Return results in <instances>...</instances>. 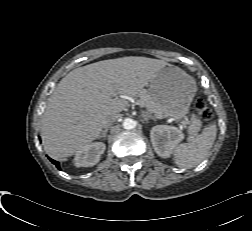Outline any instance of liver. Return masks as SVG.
Instances as JSON below:
<instances>
[{"instance_id":"liver-1","label":"liver","mask_w":252,"mask_h":231,"mask_svg":"<svg viewBox=\"0 0 252 231\" xmlns=\"http://www.w3.org/2000/svg\"><path fill=\"white\" fill-rule=\"evenodd\" d=\"M166 65L163 60L130 56L72 70L59 82L43 114L46 153L65 160L99 138L106 118L128 106L125 97L137 96Z\"/></svg>"}]
</instances>
